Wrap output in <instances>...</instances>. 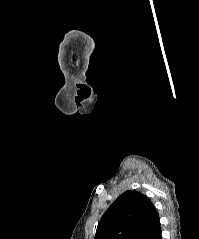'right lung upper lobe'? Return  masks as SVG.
Here are the masks:
<instances>
[{
	"instance_id": "cb5924a9",
	"label": "right lung upper lobe",
	"mask_w": 199,
	"mask_h": 239,
	"mask_svg": "<svg viewBox=\"0 0 199 239\" xmlns=\"http://www.w3.org/2000/svg\"><path fill=\"white\" fill-rule=\"evenodd\" d=\"M158 222V213L146 195L126 191L104 213L94 239H142Z\"/></svg>"
}]
</instances>
